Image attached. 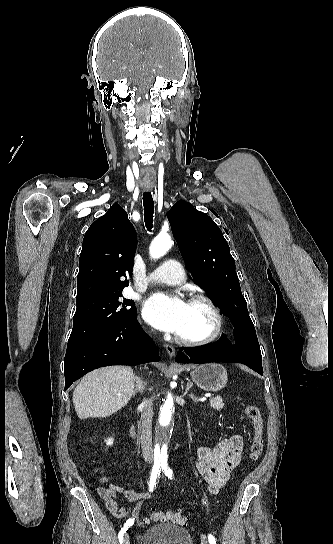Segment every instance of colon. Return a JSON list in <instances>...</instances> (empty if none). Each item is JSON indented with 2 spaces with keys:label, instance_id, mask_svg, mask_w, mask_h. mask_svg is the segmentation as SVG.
<instances>
[{
  "label": "colon",
  "instance_id": "colon-1",
  "mask_svg": "<svg viewBox=\"0 0 333 544\" xmlns=\"http://www.w3.org/2000/svg\"><path fill=\"white\" fill-rule=\"evenodd\" d=\"M245 415L253 427V436L250 444V455L252 460H257L263 452V427L264 421L259 408L255 405L245 407ZM146 522H169L185 526L188 517L181 511H153L145 518Z\"/></svg>",
  "mask_w": 333,
  "mask_h": 544
}]
</instances>
